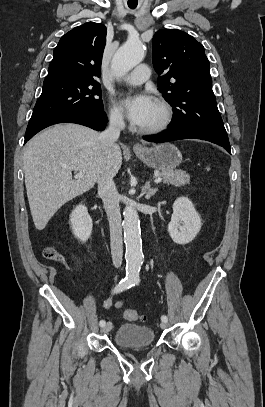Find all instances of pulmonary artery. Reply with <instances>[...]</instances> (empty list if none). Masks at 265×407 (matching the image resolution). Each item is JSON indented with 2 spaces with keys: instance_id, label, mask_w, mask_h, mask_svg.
I'll list each match as a JSON object with an SVG mask.
<instances>
[{
  "instance_id": "pulmonary-artery-1",
  "label": "pulmonary artery",
  "mask_w": 265,
  "mask_h": 407,
  "mask_svg": "<svg viewBox=\"0 0 265 407\" xmlns=\"http://www.w3.org/2000/svg\"><path fill=\"white\" fill-rule=\"evenodd\" d=\"M150 75V69L147 65L141 64L137 66L133 71L125 76L124 80L130 85L143 84Z\"/></svg>"
}]
</instances>
